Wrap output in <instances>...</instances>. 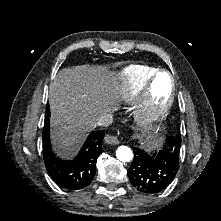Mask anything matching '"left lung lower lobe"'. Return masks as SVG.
I'll return each instance as SVG.
<instances>
[{
  "label": "left lung lower lobe",
  "instance_id": "1",
  "mask_svg": "<svg viewBox=\"0 0 221 221\" xmlns=\"http://www.w3.org/2000/svg\"><path fill=\"white\" fill-rule=\"evenodd\" d=\"M181 135L167 136L163 146L154 152L134 149L128 170L132 185L140 192L155 194L164 190L179 169Z\"/></svg>",
  "mask_w": 221,
  "mask_h": 221
}]
</instances>
